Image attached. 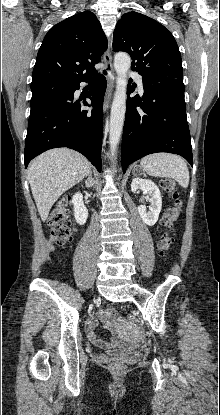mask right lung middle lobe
Wrapping results in <instances>:
<instances>
[{
    "instance_id": "right-lung-middle-lobe-1",
    "label": "right lung middle lobe",
    "mask_w": 220,
    "mask_h": 415,
    "mask_svg": "<svg viewBox=\"0 0 220 415\" xmlns=\"http://www.w3.org/2000/svg\"><path fill=\"white\" fill-rule=\"evenodd\" d=\"M72 87V83L59 80H44L31 83L32 98L31 107L56 99L66 94Z\"/></svg>"
}]
</instances>
